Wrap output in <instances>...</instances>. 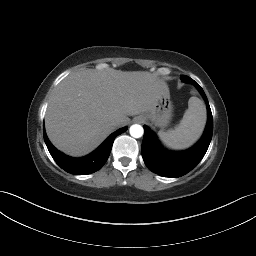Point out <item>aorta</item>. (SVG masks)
<instances>
[{
    "label": "aorta",
    "mask_w": 256,
    "mask_h": 256,
    "mask_svg": "<svg viewBox=\"0 0 256 256\" xmlns=\"http://www.w3.org/2000/svg\"><path fill=\"white\" fill-rule=\"evenodd\" d=\"M130 135L134 138H140L143 136L144 129L139 124H134L129 129Z\"/></svg>",
    "instance_id": "obj_1"
}]
</instances>
